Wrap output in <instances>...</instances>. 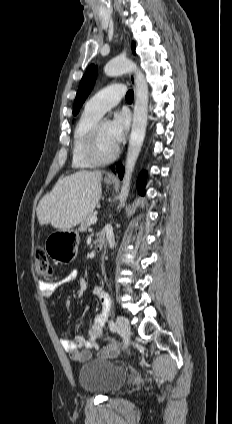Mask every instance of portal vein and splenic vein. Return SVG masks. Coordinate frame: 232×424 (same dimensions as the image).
Listing matches in <instances>:
<instances>
[{"instance_id": "18ae733b", "label": "portal vein and splenic vein", "mask_w": 232, "mask_h": 424, "mask_svg": "<svg viewBox=\"0 0 232 424\" xmlns=\"http://www.w3.org/2000/svg\"><path fill=\"white\" fill-rule=\"evenodd\" d=\"M97 222V217L96 216H94V217H92L91 219H90V223L91 224H94V223H96Z\"/></svg>"}]
</instances>
